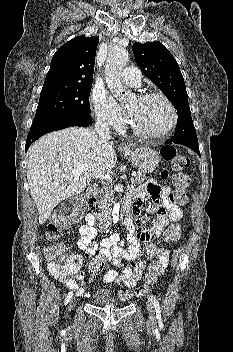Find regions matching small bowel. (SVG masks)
Here are the masks:
<instances>
[{
    "label": "small bowel",
    "mask_w": 233,
    "mask_h": 352,
    "mask_svg": "<svg viewBox=\"0 0 233 352\" xmlns=\"http://www.w3.org/2000/svg\"><path fill=\"white\" fill-rule=\"evenodd\" d=\"M148 197L154 203L156 218L151 226L146 228L143 226L139 213L142 204ZM129 198L132 200L134 208L132 219L126 223L128 228L126 242L118 234H112L100 243L95 241L97 229L94 227V221L90 214L86 218V224L79 228L80 235L77 240V246L84 251V254L69 255L67 260L73 266L74 271L68 277L59 278L77 296L84 298L90 296L89 292L84 288L83 279L85 273L81 270V266L84 259L92 258L97 252L106 255L109 262L120 268V271L108 270L103 276L105 283L123 282L128 287L135 286L145 268L143 260H150L156 255L163 266H166L168 251L158 247L159 238L163 230L171 222L181 219V208L172 200L171 190L168 187H161L153 180L131 193ZM142 243L146 245L144 253L141 252ZM124 260L131 263L125 264Z\"/></svg>",
    "instance_id": "small-bowel-1"
}]
</instances>
